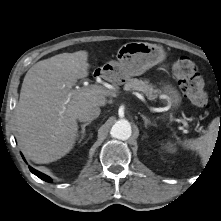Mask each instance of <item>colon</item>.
<instances>
[{
  "instance_id": "obj_1",
  "label": "colon",
  "mask_w": 221,
  "mask_h": 221,
  "mask_svg": "<svg viewBox=\"0 0 221 221\" xmlns=\"http://www.w3.org/2000/svg\"><path fill=\"white\" fill-rule=\"evenodd\" d=\"M173 73L190 102L199 108L207 107L208 97L204 81L198 73L195 63L187 56H180L174 63Z\"/></svg>"
}]
</instances>
